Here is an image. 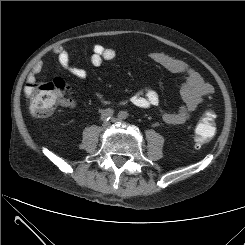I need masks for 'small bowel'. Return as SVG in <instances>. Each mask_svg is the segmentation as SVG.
<instances>
[{"mask_svg": "<svg viewBox=\"0 0 245 245\" xmlns=\"http://www.w3.org/2000/svg\"><path fill=\"white\" fill-rule=\"evenodd\" d=\"M52 53L57 57L59 64L64 70L78 79L87 78L88 73L84 68L77 67L71 63L69 47L57 46L52 50ZM115 57L116 51L113 48L97 44L93 47L90 61L92 65L99 66L103 61H110ZM149 57L154 63L164 67L168 71L184 76L185 82L181 88L183 104L175 112L161 109V115L164 122L168 124L185 123L191 118L205 97L212 93V86L205 81L197 70L165 53L152 52ZM43 67L44 63L38 61L29 74L28 82L35 81ZM96 95L103 100L100 92H96ZM123 104L132 105L141 109L160 108V98L155 91L146 89L136 93L127 101L123 102Z\"/></svg>", "mask_w": 245, "mask_h": 245, "instance_id": "c3829d8e", "label": "small bowel"}]
</instances>
